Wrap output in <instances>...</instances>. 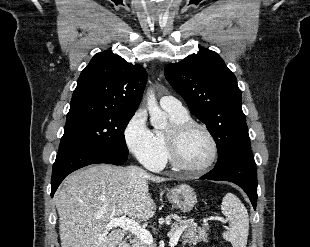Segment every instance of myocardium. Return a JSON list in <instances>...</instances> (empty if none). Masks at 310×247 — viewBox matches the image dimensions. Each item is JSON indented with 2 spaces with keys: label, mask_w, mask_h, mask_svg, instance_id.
Instances as JSON below:
<instances>
[{
  "label": "myocardium",
  "mask_w": 310,
  "mask_h": 247,
  "mask_svg": "<svg viewBox=\"0 0 310 247\" xmlns=\"http://www.w3.org/2000/svg\"><path fill=\"white\" fill-rule=\"evenodd\" d=\"M193 130L202 131L209 139L212 147V155L210 159L200 167H190L186 165L181 156L180 144L186 134ZM167 146L169 151V157L172 164L179 170L184 171L191 175H200L211 168L218 158V144L211 133V131L196 121H186L172 124L170 130L166 133Z\"/></svg>",
  "instance_id": "f54148a6"
}]
</instances>
